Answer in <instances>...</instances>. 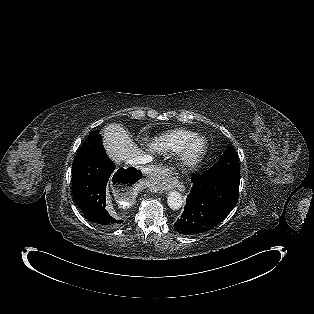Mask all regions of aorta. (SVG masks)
<instances>
[{
	"label": "aorta",
	"instance_id": "1",
	"mask_svg": "<svg viewBox=\"0 0 314 314\" xmlns=\"http://www.w3.org/2000/svg\"><path fill=\"white\" fill-rule=\"evenodd\" d=\"M168 206L172 210H179L182 207V195L178 191H171L167 197Z\"/></svg>",
	"mask_w": 314,
	"mask_h": 314
}]
</instances>
